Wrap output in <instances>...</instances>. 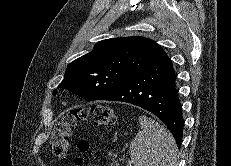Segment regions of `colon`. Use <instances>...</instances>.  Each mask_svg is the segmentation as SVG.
<instances>
[{
    "mask_svg": "<svg viewBox=\"0 0 231 166\" xmlns=\"http://www.w3.org/2000/svg\"><path fill=\"white\" fill-rule=\"evenodd\" d=\"M91 118L94 125L108 126L115 122V113L110 106L107 105H94L90 109L76 108L64 115L55 125L51 137V147L53 153L60 158L67 156L69 150V139L73 129L77 124ZM79 150L83 153L89 149V142L81 140L78 144ZM74 163L76 166H82L84 158L79 155L75 158Z\"/></svg>",
    "mask_w": 231,
    "mask_h": 166,
    "instance_id": "1",
    "label": "colon"
}]
</instances>
